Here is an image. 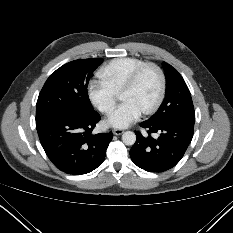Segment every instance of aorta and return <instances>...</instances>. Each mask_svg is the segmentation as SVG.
<instances>
[{
    "label": "aorta",
    "mask_w": 233,
    "mask_h": 233,
    "mask_svg": "<svg viewBox=\"0 0 233 233\" xmlns=\"http://www.w3.org/2000/svg\"><path fill=\"white\" fill-rule=\"evenodd\" d=\"M122 141L125 145H133L136 142V135L132 131H126L122 134Z\"/></svg>",
    "instance_id": "obj_1"
}]
</instances>
